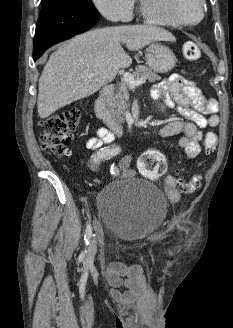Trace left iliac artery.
Masks as SVG:
<instances>
[{
    "label": "left iliac artery",
    "instance_id": "left-iliac-artery-1",
    "mask_svg": "<svg viewBox=\"0 0 233 328\" xmlns=\"http://www.w3.org/2000/svg\"><path fill=\"white\" fill-rule=\"evenodd\" d=\"M111 174L113 175H117L118 174V169L116 167H113L111 168Z\"/></svg>",
    "mask_w": 233,
    "mask_h": 328
}]
</instances>
